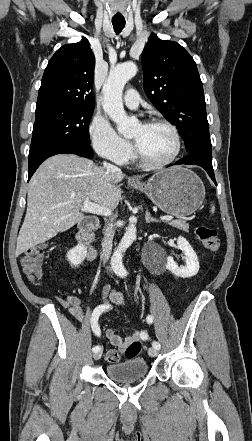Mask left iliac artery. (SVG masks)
<instances>
[{"label":"left iliac artery","mask_w":252,"mask_h":441,"mask_svg":"<svg viewBox=\"0 0 252 441\" xmlns=\"http://www.w3.org/2000/svg\"><path fill=\"white\" fill-rule=\"evenodd\" d=\"M146 320H147V323H148V324H151V323L153 322V316H152V315H148L147 318H146ZM148 336H149V333H148L147 329H146V328H141V329H140V333H139V339H140V341H142V342L147 341ZM152 346H153L154 348H156V349H160V347H161V345H160L159 342H157V341H154V342L152 343Z\"/></svg>","instance_id":"1"}]
</instances>
